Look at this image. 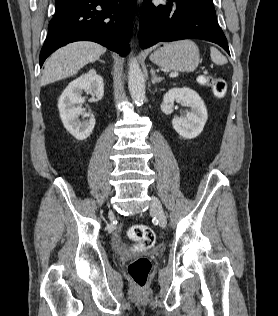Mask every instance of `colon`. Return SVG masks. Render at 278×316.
<instances>
[{"instance_id": "5ec220e1", "label": "colon", "mask_w": 278, "mask_h": 316, "mask_svg": "<svg viewBox=\"0 0 278 316\" xmlns=\"http://www.w3.org/2000/svg\"><path fill=\"white\" fill-rule=\"evenodd\" d=\"M200 83L210 87L217 98H223L226 94L227 85L221 77L202 76ZM128 235L134 242V251L138 253L148 250L155 242L154 231L146 225L132 226L128 231ZM151 267V262L146 257H138L129 263L128 274L137 288L143 289L146 287Z\"/></svg>"}]
</instances>
